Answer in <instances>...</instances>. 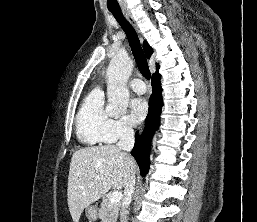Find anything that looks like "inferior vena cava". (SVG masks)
Returning <instances> with one entry per match:
<instances>
[{"mask_svg":"<svg viewBox=\"0 0 257 222\" xmlns=\"http://www.w3.org/2000/svg\"><path fill=\"white\" fill-rule=\"evenodd\" d=\"M134 130L130 126L123 127L117 147L124 151H131L134 147ZM135 186V175L132 174L125 187V198L120 214V222H127V208L129 207Z\"/></svg>","mask_w":257,"mask_h":222,"instance_id":"1","label":"inferior vena cava"}]
</instances>
